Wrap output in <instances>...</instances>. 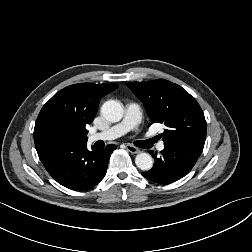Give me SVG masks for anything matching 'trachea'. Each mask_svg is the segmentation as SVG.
Returning a JSON list of instances; mask_svg holds the SVG:
<instances>
[{"instance_id":"3493384b","label":"trachea","mask_w":252,"mask_h":252,"mask_svg":"<svg viewBox=\"0 0 252 252\" xmlns=\"http://www.w3.org/2000/svg\"><path fill=\"white\" fill-rule=\"evenodd\" d=\"M154 142H155V139L152 138V139H149V140H146V141H141L140 143H141L143 146H151Z\"/></svg>"}]
</instances>
